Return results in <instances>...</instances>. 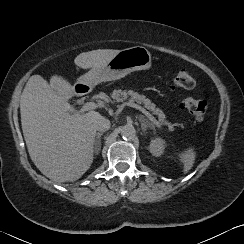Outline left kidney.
Returning <instances> with one entry per match:
<instances>
[{
	"label": "left kidney",
	"instance_id": "5707ae66",
	"mask_svg": "<svg viewBox=\"0 0 244 244\" xmlns=\"http://www.w3.org/2000/svg\"><path fill=\"white\" fill-rule=\"evenodd\" d=\"M166 147V142L160 137H156L151 140L149 145V151L155 157H159L163 154L164 149Z\"/></svg>",
	"mask_w": 244,
	"mask_h": 244
}]
</instances>
